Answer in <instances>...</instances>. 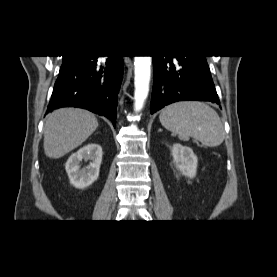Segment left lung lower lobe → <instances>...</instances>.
<instances>
[{
	"instance_id": "1",
	"label": "left lung lower lobe",
	"mask_w": 277,
	"mask_h": 277,
	"mask_svg": "<svg viewBox=\"0 0 277 277\" xmlns=\"http://www.w3.org/2000/svg\"><path fill=\"white\" fill-rule=\"evenodd\" d=\"M206 56H153L151 114L176 101L205 100L220 104Z\"/></svg>"
}]
</instances>
